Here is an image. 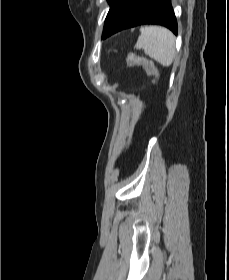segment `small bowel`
Listing matches in <instances>:
<instances>
[{
	"label": "small bowel",
	"mask_w": 229,
	"mask_h": 280,
	"mask_svg": "<svg viewBox=\"0 0 229 280\" xmlns=\"http://www.w3.org/2000/svg\"><path fill=\"white\" fill-rule=\"evenodd\" d=\"M149 66H150V64H148V65H143V67L145 68V70L147 71L148 74H150L149 71H148V67H149Z\"/></svg>",
	"instance_id": "1"
}]
</instances>
